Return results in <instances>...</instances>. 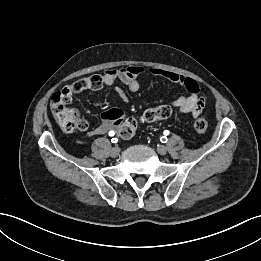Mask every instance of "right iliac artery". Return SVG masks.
<instances>
[{
    "label": "right iliac artery",
    "instance_id": "1",
    "mask_svg": "<svg viewBox=\"0 0 261 261\" xmlns=\"http://www.w3.org/2000/svg\"><path fill=\"white\" fill-rule=\"evenodd\" d=\"M109 135H110V136H114V132H113V131H110V132H109ZM111 142H112V143H117V142H118V139H117V138H112V139H111Z\"/></svg>",
    "mask_w": 261,
    "mask_h": 261
}]
</instances>
